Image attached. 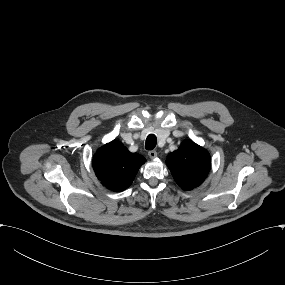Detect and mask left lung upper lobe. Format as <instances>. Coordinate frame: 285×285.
Segmentation results:
<instances>
[{"label":"left lung upper lobe","mask_w":285,"mask_h":285,"mask_svg":"<svg viewBox=\"0 0 285 285\" xmlns=\"http://www.w3.org/2000/svg\"><path fill=\"white\" fill-rule=\"evenodd\" d=\"M166 163L177 184L184 190H192L206 178L211 159L204 148L187 140L168 155Z\"/></svg>","instance_id":"obj_1"}]
</instances>
